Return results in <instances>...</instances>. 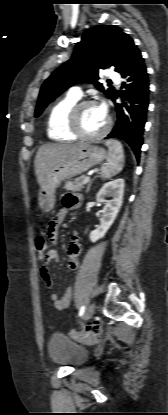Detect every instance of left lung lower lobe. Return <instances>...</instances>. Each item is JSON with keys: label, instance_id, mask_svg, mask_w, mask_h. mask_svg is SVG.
<instances>
[{"label": "left lung lower lobe", "instance_id": "obj_1", "mask_svg": "<svg viewBox=\"0 0 168 415\" xmlns=\"http://www.w3.org/2000/svg\"><path fill=\"white\" fill-rule=\"evenodd\" d=\"M121 76L125 79L121 87L123 90L115 91L111 99L115 102L117 98H120L122 103H114L117 121L105 139L124 140L132 148L136 159L139 160L149 105L148 73L141 53L133 58Z\"/></svg>", "mask_w": 168, "mask_h": 415}]
</instances>
